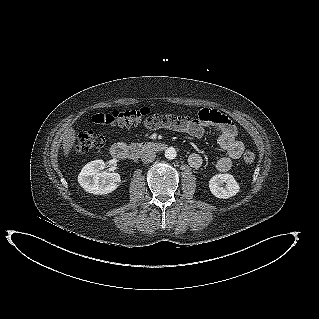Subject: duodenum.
<instances>
[{"label": "duodenum", "instance_id": "410a0bca", "mask_svg": "<svg viewBox=\"0 0 319 319\" xmlns=\"http://www.w3.org/2000/svg\"><path fill=\"white\" fill-rule=\"evenodd\" d=\"M166 148V145L161 142L142 141L131 145L124 143H116L110 148L112 158L118 161H126L129 159L138 158L149 152H157Z\"/></svg>", "mask_w": 319, "mask_h": 319}]
</instances>
